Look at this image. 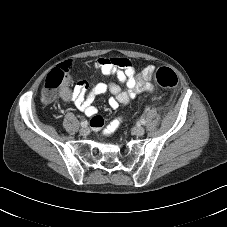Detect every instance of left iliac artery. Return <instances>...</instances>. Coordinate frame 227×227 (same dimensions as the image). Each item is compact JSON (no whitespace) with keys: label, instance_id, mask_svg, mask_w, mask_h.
Listing matches in <instances>:
<instances>
[{"label":"left iliac artery","instance_id":"obj_1","mask_svg":"<svg viewBox=\"0 0 227 227\" xmlns=\"http://www.w3.org/2000/svg\"><path fill=\"white\" fill-rule=\"evenodd\" d=\"M141 124L145 125L146 124V121L144 119H141L140 120Z\"/></svg>","mask_w":227,"mask_h":227}]
</instances>
